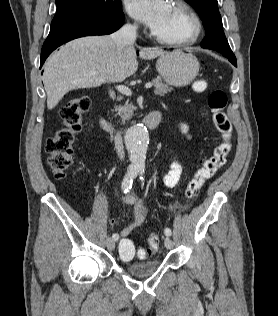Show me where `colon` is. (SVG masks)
<instances>
[{
    "label": "colon",
    "mask_w": 278,
    "mask_h": 316,
    "mask_svg": "<svg viewBox=\"0 0 278 316\" xmlns=\"http://www.w3.org/2000/svg\"><path fill=\"white\" fill-rule=\"evenodd\" d=\"M207 87L204 80L194 83V90L203 92ZM227 95L222 90H215L208 97V107L212 114L215 129L220 135V143L214 148L213 153L206 158L201 167L189 181L185 197L192 201L215 173L222 168L231 150L232 125L225 113ZM90 99L81 97L64 106L61 110L62 127L50 137L46 143L47 161L54 177L58 180L66 177L67 170L73 162L74 140L81 130L82 115L90 108ZM159 248V238L151 234L148 238L147 249L138 250L137 255L144 258L155 253ZM136 253L134 243L129 239H122L119 243V254L123 259H131Z\"/></svg>",
    "instance_id": "5ec220e1"
}]
</instances>
